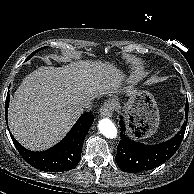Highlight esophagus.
Listing matches in <instances>:
<instances>
[{
  "instance_id": "1",
  "label": "esophagus",
  "mask_w": 194,
  "mask_h": 194,
  "mask_svg": "<svg viewBox=\"0 0 194 194\" xmlns=\"http://www.w3.org/2000/svg\"><path fill=\"white\" fill-rule=\"evenodd\" d=\"M113 105L110 102H105L100 108L101 117H111L113 113Z\"/></svg>"
}]
</instances>
